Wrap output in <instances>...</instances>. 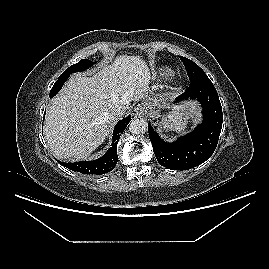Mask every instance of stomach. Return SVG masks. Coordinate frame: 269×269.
I'll list each match as a JSON object with an SVG mask.
<instances>
[{"label":"stomach","instance_id":"obj_1","mask_svg":"<svg viewBox=\"0 0 269 269\" xmlns=\"http://www.w3.org/2000/svg\"><path fill=\"white\" fill-rule=\"evenodd\" d=\"M187 118L183 112L174 111L160 122V126L165 130L181 131L185 128Z\"/></svg>","mask_w":269,"mask_h":269}]
</instances>
